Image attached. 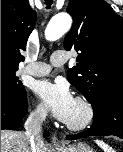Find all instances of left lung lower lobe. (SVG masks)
<instances>
[{"instance_id": "0a47b994", "label": "left lung lower lobe", "mask_w": 123, "mask_h": 152, "mask_svg": "<svg viewBox=\"0 0 123 152\" xmlns=\"http://www.w3.org/2000/svg\"><path fill=\"white\" fill-rule=\"evenodd\" d=\"M92 107L94 110L93 125L84 132L67 136V139L108 135L123 139V94L104 96Z\"/></svg>"}]
</instances>
